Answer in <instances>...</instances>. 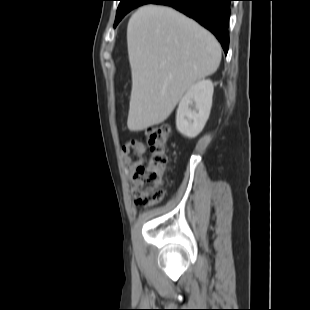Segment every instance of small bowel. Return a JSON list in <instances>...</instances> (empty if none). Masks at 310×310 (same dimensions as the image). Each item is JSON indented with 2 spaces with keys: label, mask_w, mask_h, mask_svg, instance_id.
Wrapping results in <instances>:
<instances>
[{
  "label": "small bowel",
  "mask_w": 310,
  "mask_h": 310,
  "mask_svg": "<svg viewBox=\"0 0 310 310\" xmlns=\"http://www.w3.org/2000/svg\"><path fill=\"white\" fill-rule=\"evenodd\" d=\"M145 145L138 140H128L121 146L122 161L127 176L132 177L145 160Z\"/></svg>",
  "instance_id": "c3829d8e"
}]
</instances>
